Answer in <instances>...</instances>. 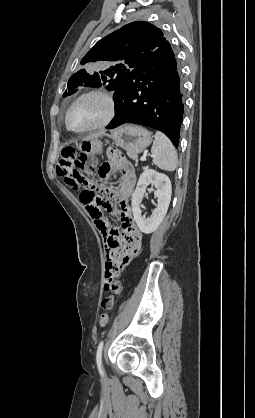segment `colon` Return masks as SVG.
Masks as SVG:
<instances>
[{
	"instance_id": "1",
	"label": "colon",
	"mask_w": 255,
	"mask_h": 418,
	"mask_svg": "<svg viewBox=\"0 0 255 418\" xmlns=\"http://www.w3.org/2000/svg\"><path fill=\"white\" fill-rule=\"evenodd\" d=\"M96 170L95 164L83 155H78L73 147H64L61 150V158L57 166V172L64 178L65 183L74 190L82 189L80 193V201L86 207L91 215V219L97 222L101 229L106 228V223L102 220L101 208L106 209L107 214L113 213V208L98 192L94 190L89 180V176ZM123 228H136L131 222ZM141 242V236H140ZM109 316L103 312L99 318L101 327L108 324Z\"/></svg>"
}]
</instances>
